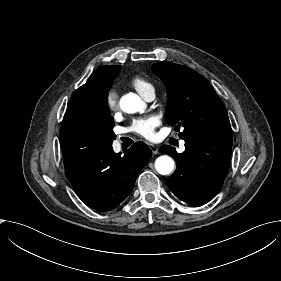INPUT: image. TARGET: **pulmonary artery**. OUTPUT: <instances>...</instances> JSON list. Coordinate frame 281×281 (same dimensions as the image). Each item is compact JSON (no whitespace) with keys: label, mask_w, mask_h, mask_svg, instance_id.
<instances>
[{"label":"pulmonary artery","mask_w":281,"mask_h":281,"mask_svg":"<svg viewBox=\"0 0 281 281\" xmlns=\"http://www.w3.org/2000/svg\"><path fill=\"white\" fill-rule=\"evenodd\" d=\"M155 95L153 91H148L146 96H145V100H147L148 102H151L154 99ZM113 151L114 153H118L120 151V146L115 144L113 146Z\"/></svg>","instance_id":"1"}]
</instances>
